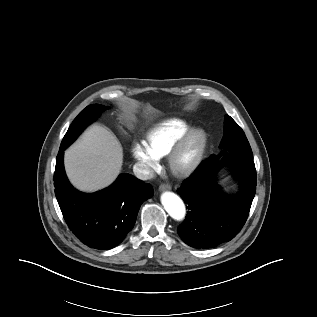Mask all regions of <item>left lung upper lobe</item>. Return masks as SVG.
<instances>
[{"instance_id":"left-lung-upper-lobe-1","label":"left lung upper lobe","mask_w":317,"mask_h":317,"mask_svg":"<svg viewBox=\"0 0 317 317\" xmlns=\"http://www.w3.org/2000/svg\"><path fill=\"white\" fill-rule=\"evenodd\" d=\"M220 148L223 149V152H236L253 157L250 144L243 130L229 115H225L224 136Z\"/></svg>"}]
</instances>
